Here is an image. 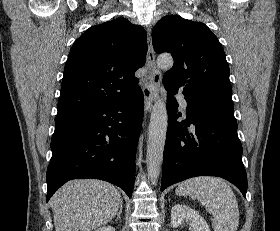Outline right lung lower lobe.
<instances>
[{"label": "right lung lower lobe", "instance_id": "1", "mask_svg": "<svg viewBox=\"0 0 280 231\" xmlns=\"http://www.w3.org/2000/svg\"><path fill=\"white\" fill-rule=\"evenodd\" d=\"M143 111L140 90L128 99L57 118L46 175V202L75 178L108 181L131 197Z\"/></svg>", "mask_w": 280, "mask_h": 231}]
</instances>
